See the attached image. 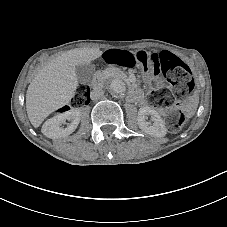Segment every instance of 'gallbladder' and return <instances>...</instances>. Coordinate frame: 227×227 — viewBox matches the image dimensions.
Wrapping results in <instances>:
<instances>
[{"instance_id":"bac80fb5","label":"gallbladder","mask_w":227,"mask_h":227,"mask_svg":"<svg viewBox=\"0 0 227 227\" xmlns=\"http://www.w3.org/2000/svg\"><path fill=\"white\" fill-rule=\"evenodd\" d=\"M75 72L79 83L89 84L95 74V64L93 62L77 64Z\"/></svg>"}]
</instances>
